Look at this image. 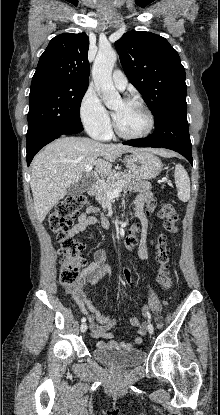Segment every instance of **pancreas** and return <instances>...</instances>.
<instances>
[{"label":"pancreas","mask_w":220,"mask_h":415,"mask_svg":"<svg viewBox=\"0 0 220 415\" xmlns=\"http://www.w3.org/2000/svg\"><path fill=\"white\" fill-rule=\"evenodd\" d=\"M140 179L127 172H112L107 180L100 181L95 185L94 193L96 200L101 205H106L108 201L107 190H115L116 188H136L137 181Z\"/></svg>","instance_id":"obj_1"}]
</instances>
